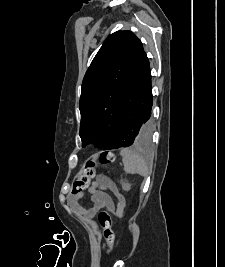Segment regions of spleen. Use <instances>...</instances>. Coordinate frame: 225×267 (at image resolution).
Masks as SVG:
<instances>
[{"label": "spleen", "mask_w": 225, "mask_h": 267, "mask_svg": "<svg viewBox=\"0 0 225 267\" xmlns=\"http://www.w3.org/2000/svg\"><path fill=\"white\" fill-rule=\"evenodd\" d=\"M120 155L122 156L124 171L127 174H138L143 177L149 175L148 165L139 154L128 149H123L120 151Z\"/></svg>", "instance_id": "1"}]
</instances>
